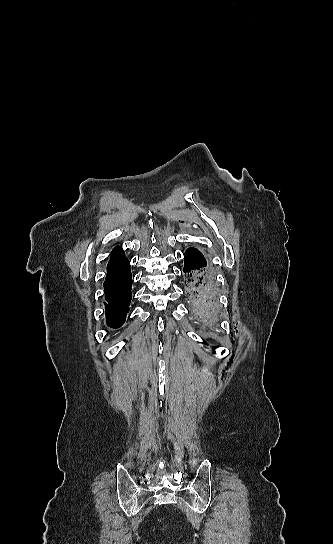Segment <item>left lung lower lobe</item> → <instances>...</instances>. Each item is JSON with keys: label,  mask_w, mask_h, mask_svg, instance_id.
I'll list each match as a JSON object with an SVG mask.
<instances>
[{"label": "left lung lower lobe", "mask_w": 333, "mask_h": 544, "mask_svg": "<svg viewBox=\"0 0 333 544\" xmlns=\"http://www.w3.org/2000/svg\"><path fill=\"white\" fill-rule=\"evenodd\" d=\"M187 298L194 317L209 333L218 327V297L215 274L208 260L195 248L184 253Z\"/></svg>", "instance_id": "obj_1"}]
</instances>
